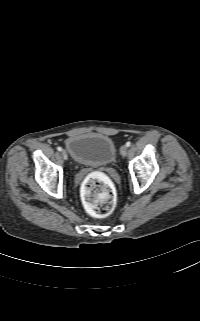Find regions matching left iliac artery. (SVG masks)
I'll use <instances>...</instances> for the list:
<instances>
[{"label": "left iliac artery", "mask_w": 200, "mask_h": 321, "mask_svg": "<svg viewBox=\"0 0 200 321\" xmlns=\"http://www.w3.org/2000/svg\"><path fill=\"white\" fill-rule=\"evenodd\" d=\"M126 146H127V147H130V146H131V142L128 141V142L126 143Z\"/></svg>", "instance_id": "44dca946"}]
</instances>
